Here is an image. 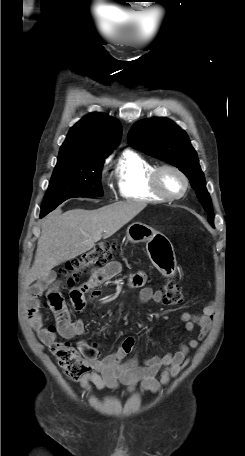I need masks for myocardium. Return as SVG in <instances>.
<instances>
[{"instance_id": "f54148a6", "label": "myocardium", "mask_w": 245, "mask_h": 456, "mask_svg": "<svg viewBox=\"0 0 245 456\" xmlns=\"http://www.w3.org/2000/svg\"><path fill=\"white\" fill-rule=\"evenodd\" d=\"M164 170H171L175 173H177L181 179L183 180L184 187L183 190L180 194L177 195H171L167 192H165L159 182L160 174ZM149 187L151 191L162 198L163 200H168V201H174V200H179L181 199L188 191L189 188V179L186 176V174L177 166L171 165V164H164L160 166H156L152 172L149 175L148 179Z\"/></svg>"}]
</instances>
